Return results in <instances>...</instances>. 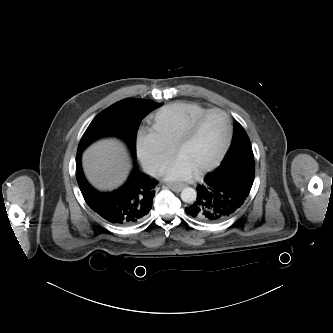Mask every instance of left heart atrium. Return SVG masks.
I'll use <instances>...</instances> for the list:
<instances>
[{
  "mask_svg": "<svg viewBox=\"0 0 333 333\" xmlns=\"http://www.w3.org/2000/svg\"><path fill=\"white\" fill-rule=\"evenodd\" d=\"M195 170L189 166L181 157L176 155L162 170L166 180L182 181L190 179Z\"/></svg>",
  "mask_w": 333,
  "mask_h": 333,
  "instance_id": "39dd6f15",
  "label": "left heart atrium"
}]
</instances>
